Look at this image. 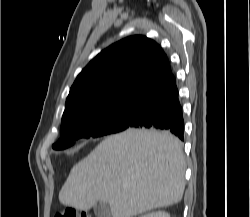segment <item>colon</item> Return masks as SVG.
Listing matches in <instances>:
<instances>
[{
  "label": "colon",
  "mask_w": 250,
  "mask_h": 217,
  "mask_svg": "<svg viewBox=\"0 0 250 217\" xmlns=\"http://www.w3.org/2000/svg\"><path fill=\"white\" fill-rule=\"evenodd\" d=\"M54 217H91L87 212L75 208H66L58 212Z\"/></svg>",
  "instance_id": "obj_1"
}]
</instances>
